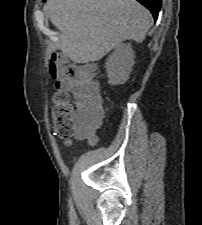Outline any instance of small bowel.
<instances>
[{"label":"small bowel","mask_w":202,"mask_h":225,"mask_svg":"<svg viewBox=\"0 0 202 225\" xmlns=\"http://www.w3.org/2000/svg\"><path fill=\"white\" fill-rule=\"evenodd\" d=\"M83 65H84L85 69H87V70H91L94 67V65L91 62L84 63ZM77 106H78V115H79L81 121L83 122V124L88 125V126H93L94 120L88 114L89 110L87 107V102L79 99L77 102Z\"/></svg>","instance_id":"1"}]
</instances>
